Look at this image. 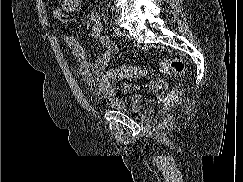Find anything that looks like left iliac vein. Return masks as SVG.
Returning <instances> with one entry per match:
<instances>
[{
	"mask_svg": "<svg viewBox=\"0 0 243 182\" xmlns=\"http://www.w3.org/2000/svg\"><path fill=\"white\" fill-rule=\"evenodd\" d=\"M123 36H124V38H125L126 40H131V39H132L131 35H130L129 32H127V31H124V32H123Z\"/></svg>",
	"mask_w": 243,
	"mask_h": 182,
	"instance_id": "left-iliac-vein-1",
	"label": "left iliac vein"
}]
</instances>
